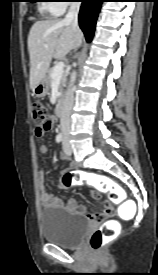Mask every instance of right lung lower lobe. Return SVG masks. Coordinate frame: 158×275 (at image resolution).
<instances>
[{"label":"right lung lower lobe","mask_w":158,"mask_h":275,"mask_svg":"<svg viewBox=\"0 0 158 275\" xmlns=\"http://www.w3.org/2000/svg\"><path fill=\"white\" fill-rule=\"evenodd\" d=\"M82 6L79 13V25L85 34L86 40H92L95 24L104 0H81Z\"/></svg>","instance_id":"98d812e1"}]
</instances>
